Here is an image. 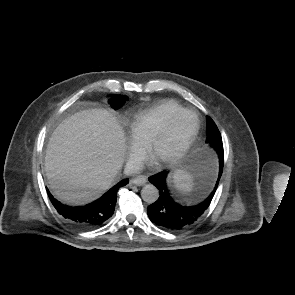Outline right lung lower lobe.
Here are the masks:
<instances>
[{
    "mask_svg": "<svg viewBox=\"0 0 295 295\" xmlns=\"http://www.w3.org/2000/svg\"><path fill=\"white\" fill-rule=\"evenodd\" d=\"M128 179L122 180L105 193L101 198L82 207H69L56 201L48 191L51 202L62 215L72 225L81 229H92L103 224L109 219L115 209L116 193L120 187L125 186Z\"/></svg>",
    "mask_w": 295,
    "mask_h": 295,
    "instance_id": "right-lung-lower-lobe-1",
    "label": "right lung lower lobe"
}]
</instances>
